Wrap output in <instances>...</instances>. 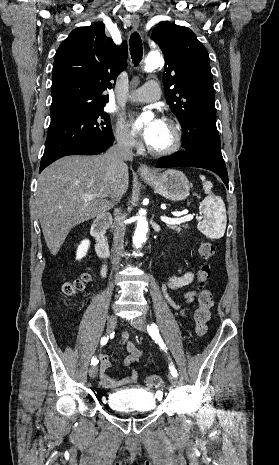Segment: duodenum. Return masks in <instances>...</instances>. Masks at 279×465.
Here are the masks:
<instances>
[{
    "label": "duodenum",
    "instance_id": "1",
    "mask_svg": "<svg viewBox=\"0 0 279 465\" xmlns=\"http://www.w3.org/2000/svg\"><path fill=\"white\" fill-rule=\"evenodd\" d=\"M111 219V215L109 213H105L99 216L91 226V235L95 239L96 253L98 257L104 261L102 266L103 274L106 272V260L110 255L109 244L107 242L105 233L109 224L111 223Z\"/></svg>",
    "mask_w": 279,
    "mask_h": 465
}]
</instances>
